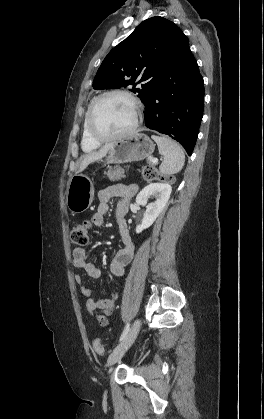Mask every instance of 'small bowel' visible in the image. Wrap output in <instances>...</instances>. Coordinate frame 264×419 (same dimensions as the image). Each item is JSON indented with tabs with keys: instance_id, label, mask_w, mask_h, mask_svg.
<instances>
[{
	"instance_id": "c3829d8e",
	"label": "small bowel",
	"mask_w": 264,
	"mask_h": 419,
	"mask_svg": "<svg viewBox=\"0 0 264 419\" xmlns=\"http://www.w3.org/2000/svg\"><path fill=\"white\" fill-rule=\"evenodd\" d=\"M136 190L137 186L135 184L114 185L102 189L99 192L97 211L92 216V221L95 226H103L110 202L113 200L116 201L115 221L124 244L123 248L116 253L110 265L112 274L117 277L125 275L126 267L131 263L134 256V244L129 235L125 216L128 211L129 201ZM73 265L75 268L83 270L91 278L98 279L102 275V271L95 264L87 261V251L84 248L78 247L74 249ZM75 282L80 286L82 295L85 298L86 310L101 327L109 326L110 321L108 317L114 310L118 295L112 294L106 299H94L91 288L84 284V280L80 274L75 275Z\"/></svg>"
}]
</instances>
